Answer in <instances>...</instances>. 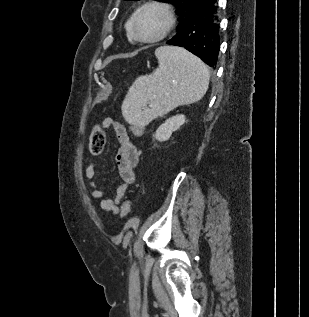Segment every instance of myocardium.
I'll return each instance as SVG.
<instances>
[{
	"label": "myocardium",
	"instance_id": "myocardium-1",
	"mask_svg": "<svg viewBox=\"0 0 309 317\" xmlns=\"http://www.w3.org/2000/svg\"><path fill=\"white\" fill-rule=\"evenodd\" d=\"M149 9H155V10L160 11L165 17V25L158 35L151 37V38H144L140 35L137 25H138V20H139L140 16L146 10H149ZM175 22H176V19H175L174 12L168 4L160 2V1H150V2L143 4L141 7H139L138 10L133 15L132 34L136 40H138L142 43H155V42H158V41L164 39L171 32V30L173 29V27L175 25Z\"/></svg>",
	"mask_w": 309,
	"mask_h": 317
}]
</instances>
